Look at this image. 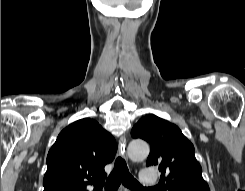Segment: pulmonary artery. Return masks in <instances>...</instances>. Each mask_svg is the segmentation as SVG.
<instances>
[{"instance_id": "1", "label": "pulmonary artery", "mask_w": 245, "mask_h": 191, "mask_svg": "<svg viewBox=\"0 0 245 191\" xmlns=\"http://www.w3.org/2000/svg\"><path fill=\"white\" fill-rule=\"evenodd\" d=\"M142 184L146 186H153L158 182L157 174L152 168L143 169L140 173Z\"/></svg>"}]
</instances>
